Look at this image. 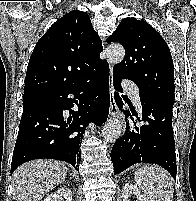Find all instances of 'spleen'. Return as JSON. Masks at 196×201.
Instances as JSON below:
<instances>
[{"mask_svg": "<svg viewBox=\"0 0 196 201\" xmlns=\"http://www.w3.org/2000/svg\"><path fill=\"white\" fill-rule=\"evenodd\" d=\"M135 181L149 201H172V179L163 169L153 166L139 168L135 172Z\"/></svg>", "mask_w": 196, "mask_h": 201, "instance_id": "obj_1", "label": "spleen"}]
</instances>
